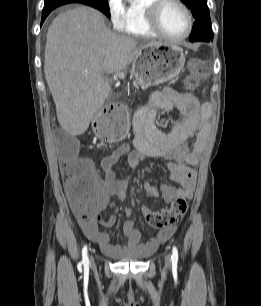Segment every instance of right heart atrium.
<instances>
[{"mask_svg": "<svg viewBox=\"0 0 261 306\" xmlns=\"http://www.w3.org/2000/svg\"><path fill=\"white\" fill-rule=\"evenodd\" d=\"M107 10L112 27L121 30L125 22V5L123 0H107Z\"/></svg>", "mask_w": 261, "mask_h": 306, "instance_id": "d8ad5b80", "label": "right heart atrium"}]
</instances>
